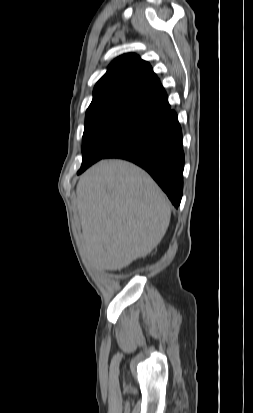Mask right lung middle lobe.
<instances>
[{"instance_id": "dd1d6c3e", "label": "right lung middle lobe", "mask_w": 253, "mask_h": 413, "mask_svg": "<svg viewBox=\"0 0 253 413\" xmlns=\"http://www.w3.org/2000/svg\"><path fill=\"white\" fill-rule=\"evenodd\" d=\"M160 119L126 109H113L86 115L82 141L83 160L77 174L153 127Z\"/></svg>"}]
</instances>
